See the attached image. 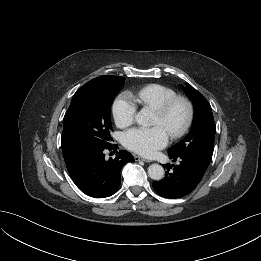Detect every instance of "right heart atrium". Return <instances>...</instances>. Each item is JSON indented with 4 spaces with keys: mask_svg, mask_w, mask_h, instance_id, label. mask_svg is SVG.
Returning <instances> with one entry per match:
<instances>
[{
    "mask_svg": "<svg viewBox=\"0 0 261 261\" xmlns=\"http://www.w3.org/2000/svg\"><path fill=\"white\" fill-rule=\"evenodd\" d=\"M137 107L130 96L120 95L113 103L112 115L118 127L125 128L134 122Z\"/></svg>",
    "mask_w": 261,
    "mask_h": 261,
    "instance_id": "d8ad5b80",
    "label": "right heart atrium"
}]
</instances>
